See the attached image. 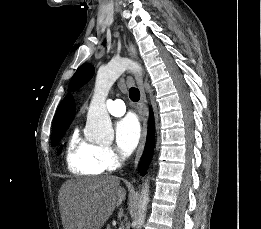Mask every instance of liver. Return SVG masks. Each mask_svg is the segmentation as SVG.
I'll return each mask as SVG.
<instances>
[{"label": "liver", "mask_w": 261, "mask_h": 229, "mask_svg": "<svg viewBox=\"0 0 261 229\" xmlns=\"http://www.w3.org/2000/svg\"><path fill=\"white\" fill-rule=\"evenodd\" d=\"M126 197L118 177L72 179L64 185L66 229H102Z\"/></svg>", "instance_id": "obj_1"}]
</instances>
